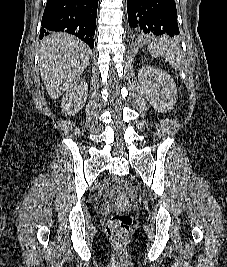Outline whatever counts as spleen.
Segmentation results:
<instances>
[{"label": "spleen", "instance_id": "obj_1", "mask_svg": "<svg viewBox=\"0 0 227 267\" xmlns=\"http://www.w3.org/2000/svg\"><path fill=\"white\" fill-rule=\"evenodd\" d=\"M148 50L151 51L152 56L162 55L175 70L180 68L181 59L179 57V48L175 42L163 38L150 44Z\"/></svg>", "mask_w": 227, "mask_h": 267}]
</instances>
